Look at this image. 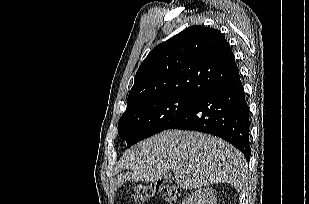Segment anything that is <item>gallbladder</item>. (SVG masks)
Segmentation results:
<instances>
[{
    "instance_id": "gallbladder-1",
    "label": "gallbladder",
    "mask_w": 309,
    "mask_h": 204,
    "mask_svg": "<svg viewBox=\"0 0 309 204\" xmlns=\"http://www.w3.org/2000/svg\"><path fill=\"white\" fill-rule=\"evenodd\" d=\"M166 181L171 182L173 180V177L171 175L165 176Z\"/></svg>"
}]
</instances>
